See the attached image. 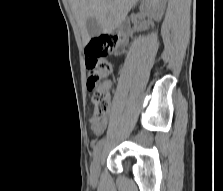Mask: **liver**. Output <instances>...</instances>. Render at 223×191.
<instances>
[{
	"label": "liver",
	"instance_id": "1",
	"mask_svg": "<svg viewBox=\"0 0 223 191\" xmlns=\"http://www.w3.org/2000/svg\"><path fill=\"white\" fill-rule=\"evenodd\" d=\"M80 27L84 44L91 38L86 29L89 17H94L103 33L113 32L139 0H69Z\"/></svg>",
	"mask_w": 223,
	"mask_h": 191
}]
</instances>
